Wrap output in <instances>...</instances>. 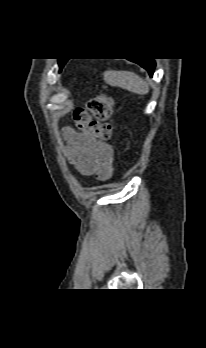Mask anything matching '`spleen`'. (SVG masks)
<instances>
[{
  "instance_id": "1",
  "label": "spleen",
  "mask_w": 206,
  "mask_h": 348,
  "mask_svg": "<svg viewBox=\"0 0 206 348\" xmlns=\"http://www.w3.org/2000/svg\"><path fill=\"white\" fill-rule=\"evenodd\" d=\"M104 80L111 86L121 87L139 95L149 92L148 84L131 71H107L104 73Z\"/></svg>"
}]
</instances>
